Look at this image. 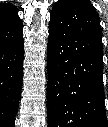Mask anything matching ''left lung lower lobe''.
<instances>
[{"instance_id": "0a47b994", "label": "left lung lower lobe", "mask_w": 108, "mask_h": 127, "mask_svg": "<svg viewBox=\"0 0 108 127\" xmlns=\"http://www.w3.org/2000/svg\"><path fill=\"white\" fill-rule=\"evenodd\" d=\"M100 19L89 0H58L47 46L48 127H107ZM74 67L70 80L66 71Z\"/></svg>"}]
</instances>
